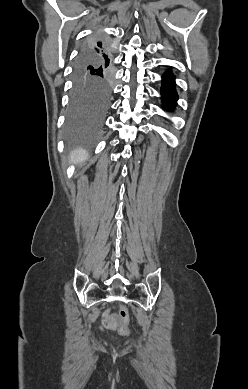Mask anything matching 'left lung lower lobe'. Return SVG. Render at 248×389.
<instances>
[{"instance_id":"obj_1","label":"left lung lower lobe","mask_w":248,"mask_h":389,"mask_svg":"<svg viewBox=\"0 0 248 389\" xmlns=\"http://www.w3.org/2000/svg\"><path fill=\"white\" fill-rule=\"evenodd\" d=\"M161 95L165 109L171 110L176 106L178 95L175 89V77L170 70L163 75Z\"/></svg>"}]
</instances>
